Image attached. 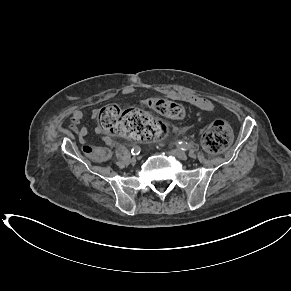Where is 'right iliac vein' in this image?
I'll return each mask as SVG.
<instances>
[{
  "mask_svg": "<svg viewBox=\"0 0 291 291\" xmlns=\"http://www.w3.org/2000/svg\"><path fill=\"white\" fill-rule=\"evenodd\" d=\"M136 162V157H133L132 159H131V163H135Z\"/></svg>",
  "mask_w": 291,
  "mask_h": 291,
  "instance_id": "63e3f726",
  "label": "right iliac vein"
}]
</instances>
